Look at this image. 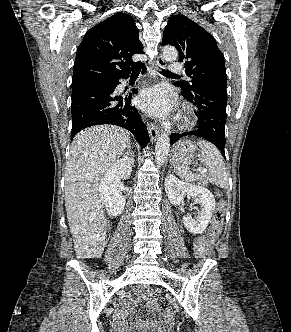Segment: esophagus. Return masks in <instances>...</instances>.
Here are the masks:
<instances>
[{
    "label": "esophagus",
    "mask_w": 291,
    "mask_h": 332,
    "mask_svg": "<svg viewBox=\"0 0 291 332\" xmlns=\"http://www.w3.org/2000/svg\"><path fill=\"white\" fill-rule=\"evenodd\" d=\"M165 67V61L164 59L159 56L157 58V61L155 63V70H156V73L159 74V71L161 68H164ZM148 131H149V135H150V138L152 141H155L159 135V128L158 126L155 124V123H152L150 122L149 126H148Z\"/></svg>",
    "instance_id": "1"
}]
</instances>
